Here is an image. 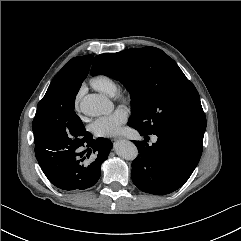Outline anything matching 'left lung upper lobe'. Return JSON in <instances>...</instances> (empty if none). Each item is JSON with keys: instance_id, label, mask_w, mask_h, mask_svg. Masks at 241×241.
<instances>
[{"instance_id": "left-lung-upper-lobe-1", "label": "left lung upper lobe", "mask_w": 241, "mask_h": 241, "mask_svg": "<svg viewBox=\"0 0 241 241\" xmlns=\"http://www.w3.org/2000/svg\"><path fill=\"white\" fill-rule=\"evenodd\" d=\"M100 74L127 88L132 105L129 122L137 123L143 133L176 127L204 134L206 117L199 94L162 50L144 47L100 54L94 58L91 75Z\"/></svg>"}]
</instances>
